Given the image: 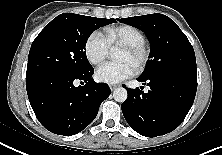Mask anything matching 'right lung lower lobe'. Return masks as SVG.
I'll return each mask as SVG.
<instances>
[{
  "label": "right lung lower lobe",
  "instance_id": "1",
  "mask_svg": "<svg viewBox=\"0 0 222 155\" xmlns=\"http://www.w3.org/2000/svg\"><path fill=\"white\" fill-rule=\"evenodd\" d=\"M94 69L66 80L48 82L28 92L39 122L50 132L70 136L85 129L111 93L107 84L94 82ZM83 86L76 87V83Z\"/></svg>",
  "mask_w": 222,
  "mask_h": 155
}]
</instances>
